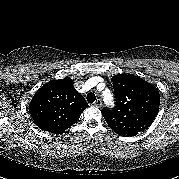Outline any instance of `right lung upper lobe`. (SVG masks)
<instances>
[{
  "instance_id": "obj_1",
  "label": "right lung upper lobe",
  "mask_w": 179,
  "mask_h": 179,
  "mask_svg": "<svg viewBox=\"0 0 179 179\" xmlns=\"http://www.w3.org/2000/svg\"><path fill=\"white\" fill-rule=\"evenodd\" d=\"M88 107L84 97L76 91L70 77L51 80L33 96L29 112L42 130L61 134L71 127Z\"/></svg>"
}]
</instances>
